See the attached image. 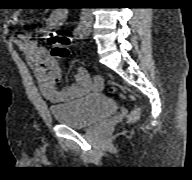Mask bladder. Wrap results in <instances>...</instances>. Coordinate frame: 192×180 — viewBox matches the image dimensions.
I'll return each mask as SVG.
<instances>
[{
    "instance_id": "1",
    "label": "bladder",
    "mask_w": 192,
    "mask_h": 180,
    "mask_svg": "<svg viewBox=\"0 0 192 180\" xmlns=\"http://www.w3.org/2000/svg\"><path fill=\"white\" fill-rule=\"evenodd\" d=\"M116 104L104 94H93L65 103L52 104L55 120L72 128H83L113 115Z\"/></svg>"
}]
</instances>
